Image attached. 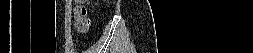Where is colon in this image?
<instances>
[{
    "instance_id": "1",
    "label": "colon",
    "mask_w": 253,
    "mask_h": 53,
    "mask_svg": "<svg viewBox=\"0 0 253 53\" xmlns=\"http://www.w3.org/2000/svg\"><path fill=\"white\" fill-rule=\"evenodd\" d=\"M75 18L77 27L80 30H87L90 27V20L88 18V9L85 6H78L75 10Z\"/></svg>"
}]
</instances>
